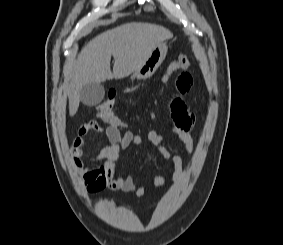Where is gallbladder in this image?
I'll return each instance as SVG.
<instances>
[{
  "instance_id": "1",
  "label": "gallbladder",
  "mask_w": 283,
  "mask_h": 245,
  "mask_svg": "<svg viewBox=\"0 0 283 245\" xmlns=\"http://www.w3.org/2000/svg\"><path fill=\"white\" fill-rule=\"evenodd\" d=\"M104 87L100 83H88L80 91V100L86 106H95L104 98Z\"/></svg>"
}]
</instances>
